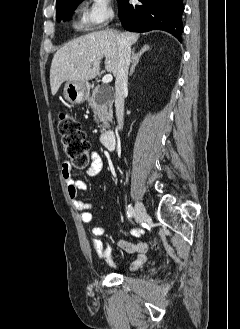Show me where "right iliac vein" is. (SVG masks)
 I'll use <instances>...</instances> for the list:
<instances>
[{
  "label": "right iliac vein",
  "instance_id": "obj_1",
  "mask_svg": "<svg viewBox=\"0 0 240 329\" xmlns=\"http://www.w3.org/2000/svg\"><path fill=\"white\" fill-rule=\"evenodd\" d=\"M135 219L137 222H143L147 217L145 206L142 202H137L135 205Z\"/></svg>",
  "mask_w": 240,
  "mask_h": 329
}]
</instances>
